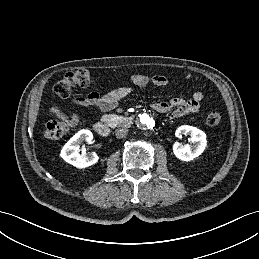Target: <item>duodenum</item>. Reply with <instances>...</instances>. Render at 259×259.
<instances>
[{"label":"duodenum","instance_id":"410a0bca","mask_svg":"<svg viewBox=\"0 0 259 259\" xmlns=\"http://www.w3.org/2000/svg\"><path fill=\"white\" fill-rule=\"evenodd\" d=\"M134 121V118L129 117L124 120L125 123L131 124ZM94 131L101 137H107L109 135V127L103 121H96L93 124Z\"/></svg>","mask_w":259,"mask_h":259}]
</instances>
